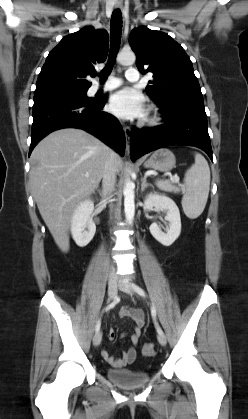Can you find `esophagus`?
Here are the masks:
<instances>
[{"label":"esophagus","instance_id":"1","mask_svg":"<svg viewBox=\"0 0 248 419\" xmlns=\"http://www.w3.org/2000/svg\"><path fill=\"white\" fill-rule=\"evenodd\" d=\"M121 7H122L121 4H116L115 5V8H121ZM123 130H124V134H125V137H126V149H127V151H129V142H130V136H131V129L128 126H124L123 127Z\"/></svg>","mask_w":248,"mask_h":419}]
</instances>
